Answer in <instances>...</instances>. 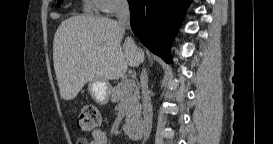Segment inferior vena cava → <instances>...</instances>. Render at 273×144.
<instances>
[{"mask_svg":"<svg viewBox=\"0 0 273 144\" xmlns=\"http://www.w3.org/2000/svg\"><path fill=\"white\" fill-rule=\"evenodd\" d=\"M115 12L118 19V24L123 29L130 28V11L127 0H115ZM141 59L143 61V52L139 49ZM141 89H142V105H143V122L142 133L143 139L146 141L149 138L152 128V104L150 99V92L148 90V76L146 69H143L140 75Z\"/></svg>","mask_w":273,"mask_h":144,"instance_id":"obj_1","label":"inferior vena cava"}]
</instances>
